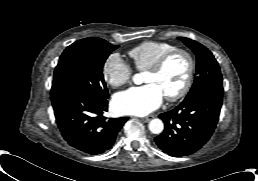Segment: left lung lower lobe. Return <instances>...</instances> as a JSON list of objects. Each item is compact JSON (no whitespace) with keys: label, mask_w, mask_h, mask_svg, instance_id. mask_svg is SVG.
<instances>
[{"label":"left lung lower lobe","mask_w":258,"mask_h":181,"mask_svg":"<svg viewBox=\"0 0 258 181\" xmlns=\"http://www.w3.org/2000/svg\"><path fill=\"white\" fill-rule=\"evenodd\" d=\"M222 101L223 92L209 91L160 114L165 129L155 138L158 147L173 157L187 156L199 150L216 127Z\"/></svg>","instance_id":"1"}]
</instances>
